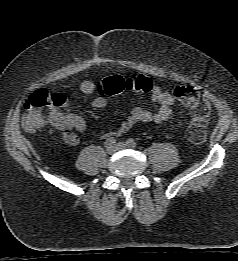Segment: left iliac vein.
Returning <instances> with one entry per match:
<instances>
[{"mask_svg":"<svg viewBox=\"0 0 238 261\" xmlns=\"http://www.w3.org/2000/svg\"><path fill=\"white\" fill-rule=\"evenodd\" d=\"M127 147H128V145L126 143H124V142H119L116 145L117 150L125 149Z\"/></svg>","mask_w":238,"mask_h":261,"instance_id":"obj_1","label":"left iliac vein"}]
</instances>
